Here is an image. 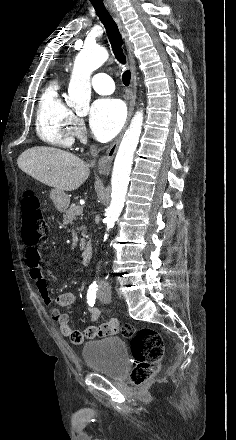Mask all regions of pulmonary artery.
<instances>
[{
    "mask_svg": "<svg viewBox=\"0 0 236 440\" xmlns=\"http://www.w3.org/2000/svg\"><path fill=\"white\" fill-rule=\"evenodd\" d=\"M92 88L98 94L106 95L114 91L112 78L106 73H96L91 80Z\"/></svg>",
    "mask_w": 236,
    "mask_h": 440,
    "instance_id": "e3ab8cb5",
    "label": "pulmonary artery"
}]
</instances>
